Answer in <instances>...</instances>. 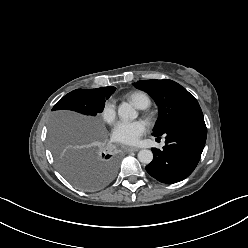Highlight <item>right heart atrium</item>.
Listing matches in <instances>:
<instances>
[{
	"label": "right heart atrium",
	"instance_id": "obj_1",
	"mask_svg": "<svg viewBox=\"0 0 248 248\" xmlns=\"http://www.w3.org/2000/svg\"><path fill=\"white\" fill-rule=\"evenodd\" d=\"M116 106L112 100H107L101 109V118L108 124L114 123L116 120Z\"/></svg>",
	"mask_w": 248,
	"mask_h": 248
}]
</instances>
